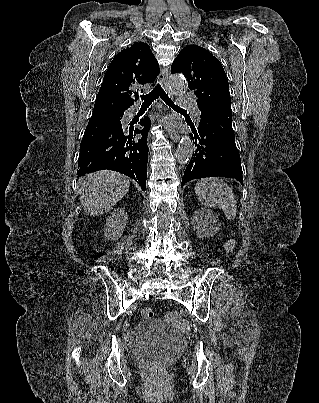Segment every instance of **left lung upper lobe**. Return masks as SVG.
Instances as JSON below:
<instances>
[{
    "label": "left lung upper lobe",
    "mask_w": 319,
    "mask_h": 403,
    "mask_svg": "<svg viewBox=\"0 0 319 403\" xmlns=\"http://www.w3.org/2000/svg\"><path fill=\"white\" fill-rule=\"evenodd\" d=\"M173 73H183L188 87L198 97L200 110L215 107L231 109L228 80L220 61L197 45L183 48L174 60Z\"/></svg>",
    "instance_id": "left-lung-upper-lobe-1"
}]
</instances>
